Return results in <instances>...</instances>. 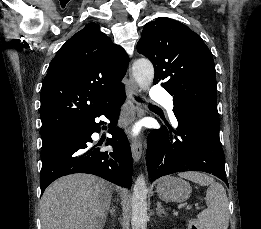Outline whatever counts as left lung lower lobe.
<instances>
[{
    "label": "left lung lower lobe",
    "instance_id": "left-lung-lower-lobe-1",
    "mask_svg": "<svg viewBox=\"0 0 261 229\" xmlns=\"http://www.w3.org/2000/svg\"><path fill=\"white\" fill-rule=\"evenodd\" d=\"M175 116L176 130L166 123L169 130L162 126L148 137L146 164L150 181L180 171L226 177L219 116L199 107L181 109Z\"/></svg>",
    "mask_w": 261,
    "mask_h": 229
}]
</instances>
